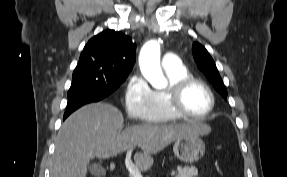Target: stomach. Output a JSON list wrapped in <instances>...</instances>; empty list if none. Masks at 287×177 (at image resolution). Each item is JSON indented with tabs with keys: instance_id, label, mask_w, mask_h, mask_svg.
<instances>
[{
	"instance_id": "0dacf381",
	"label": "stomach",
	"mask_w": 287,
	"mask_h": 177,
	"mask_svg": "<svg viewBox=\"0 0 287 177\" xmlns=\"http://www.w3.org/2000/svg\"><path fill=\"white\" fill-rule=\"evenodd\" d=\"M175 156L185 163L197 162L205 152V144L200 135L189 134L175 140Z\"/></svg>"
}]
</instances>
